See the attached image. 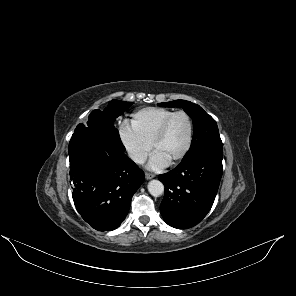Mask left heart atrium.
I'll return each mask as SVG.
<instances>
[{"label":"left heart atrium","mask_w":296,"mask_h":296,"mask_svg":"<svg viewBox=\"0 0 296 296\" xmlns=\"http://www.w3.org/2000/svg\"><path fill=\"white\" fill-rule=\"evenodd\" d=\"M168 165V162L164 160L158 153L154 152L149 160V168L157 170L164 168Z\"/></svg>","instance_id":"1"}]
</instances>
